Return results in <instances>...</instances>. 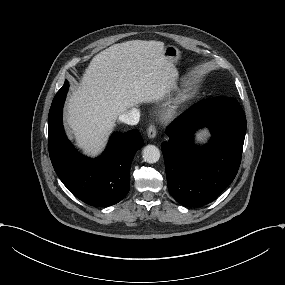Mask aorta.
<instances>
[{"label":"aorta","instance_id":"762f6f07","mask_svg":"<svg viewBox=\"0 0 285 285\" xmlns=\"http://www.w3.org/2000/svg\"><path fill=\"white\" fill-rule=\"evenodd\" d=\"M143 158L147 163H156L160 158V150L155 145H147L143 149Z\"/></svg>","mask_w":285,"mask_h":285}]
</instances>
